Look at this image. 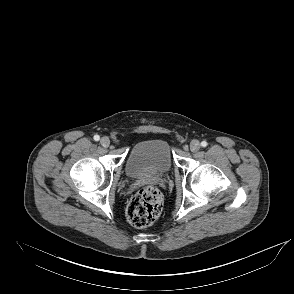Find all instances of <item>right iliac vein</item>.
Instances as JSON below:
<instances>
[{
    "label": "right iliac vein",
    "instance_id": "63e3f726",
    "mask_svg": "<svg viewBox=\"0 0 294 294\" xmlns=\"http://www.w3.org/2000/svg\"><path fill=\"white\" fill-rule=\"evenodd\" d=\"M100 144L103 146V147H108L110 145V139L108 137H102L101 140H100Z\"/></svg>",
    "mask_w": 294,
    "mask_h": 294
}]
</instances>
